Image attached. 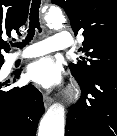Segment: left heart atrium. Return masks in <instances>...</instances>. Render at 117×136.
<instances>
[{"instance_id": "39dd6f15", "label": "left heart atrium", "mask_w": 117, "mask_h": 136, "mask_svg": "<svg viewBox=\"0 0 117 136\" xmlns=\"http://www.w3.org/2000/svg\"><path fill=\"white\" fill-rule=\"evenodd\" d=\"M27 73L30 80L45 88L57 87L63 81V68L50 57L31 63Z\"/></svg>"}]
</instances>
